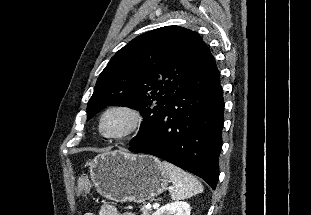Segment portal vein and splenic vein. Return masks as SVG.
<instances>
[{
	"mask_svg": "<svg viewBox=\"0 0 311 215\" xmlns=\"http://www.w3.org/2000/svg\"><path fill=\"white\" fill-rule=\"evenodd\" d=\"M170 190H172V188H171ZM158 207H159V203H154V204H153V208L156 209V208H158Z\"/></svg>",
	"mask_w": 311,
	"mask_h": 215,
	"instance_id": "1",
	"label": "portal vein and splenic vein"
}]
</instances>
